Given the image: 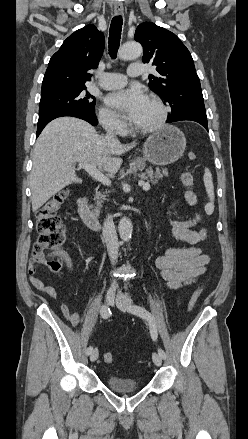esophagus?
<instances>
[{
  "mask_svg": "<svg viewBox=\"0 0 248 439\" xmlns=\"http://www.w3.org/2000/svg\"><path fill=\"white\" fill-rule=\"evenodd\" d=\"M123 6L122 5H116L115 6V9H114V11H115V14L116 15H120V14H122L123 13Z\"/></svg>",
  "mask_w": 248,
  "mask_h": 439,
  "instance_id": "34e87169",
  "label": "esophagus"
}]
</instances>
